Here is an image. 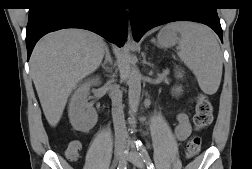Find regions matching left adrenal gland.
Masks as SVG:
<instances>
[{"instance_id":"a2214340","label":"left adrenal gland","mask_w":252,"mask_h":169,"mask_svg":"<svg viewBox=\"0 0 252 169\" xmlns=\"http://www.w3.org/2000/svg\"><path fill=\"white\" fill-rule=\"evenodd\" d=\"M151 42H152V43H155V44H156V41H155V39H152V40H151Z\"/></svg>"}]
</instances>
